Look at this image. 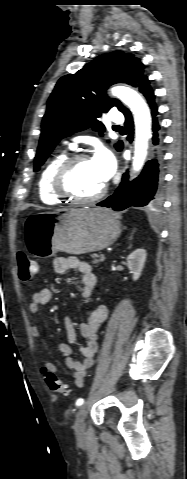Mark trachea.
<instances>
[{
  "label": "trachea",
  "mask_w": 187,
  "mask_h": 479,
  "mask_svg": "<svg viewBox=\"0 0 187 479\" xmlns=\"http://www.w3.org/2000/svg\"><path fill=\"white\" fill-rule=\"evenodd\" d=\"M114 128H115V129H118V128H122V127L119 126V127H114Z\"/></svg>",
  "instance_id": "trachea-1"
}]
</instances>
